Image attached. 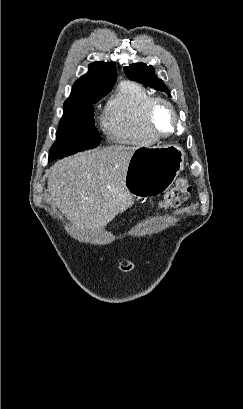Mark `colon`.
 <instances>
[{
    "label": "colon",
    "instance_id": "colon-1",
    "mask_svg": "<svg viewBox=\"0 0 243 409\" xmlns=\"http://www.w3.org/2000/svg\"><path fill=\"white\" fill-rule=\"evenodd\" d=\"M191 186L187 178H179L174 186L164 195L159 206L162 209L175 208L189 197Z\"/></svg>",
    "mask_w": 243,
    "mask_h": 409
}]
</instances>
